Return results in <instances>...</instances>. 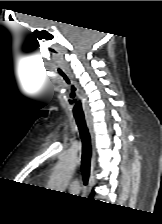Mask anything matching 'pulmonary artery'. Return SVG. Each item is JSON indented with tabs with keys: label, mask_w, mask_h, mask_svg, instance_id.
Here are the masks:
<instances>
[{
	"label": "pulmonary artery",
	"mask_w": 162,
	"mask_h": 224,
	"mask_svg": "<svg viewBox=\"0 0 162 224\" xmlns=\"http://www.w3.org/2000/svg\"><path fill=\"white\" fill-rule=\"evenodd\" d=\"M70 192L72 193H78L81 188V181L78 178H74L70 181L69 186H68Z\"/></svg>",
	"instance_id": "e3ab8cb5"
}]
</instances>
